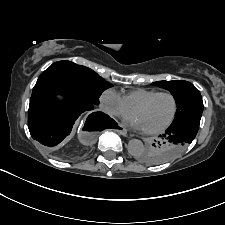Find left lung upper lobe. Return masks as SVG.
Wrapping results in <instances>:
<instances>
[{
  "mask_svg": "<svg viewBox=\"0 0 225 225\" xmlns=\"http://www.w3.org/2000/svg\"><path fill=\"white\" fill-rule=\"evenodd\" d=\"M165 88L174 96L177 105L175 120L190 114L203 112V101L199 90L187 81H158L153 83ZM175 141L170 138H161L152 146L137 155V159L146 164H161L156 158L164 156L174 148ZM187 146V145H186ZM183 147L181 152L186 148ZM164 163V162H163Z\"/></svg>",
  "mask_w": 225,
  "mask_h": 225,
  "instance_id": "left-lung-upper-lobe-1",
  "label": "left lung upper lobe"
}]
</instances>
